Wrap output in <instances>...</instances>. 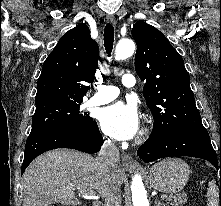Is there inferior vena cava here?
Masks as SVG:
<instances>
[{"label":"inferior vena cava","mask_w":221,"mask_h":206,"mask_svg":"<svg viewBox=\"0 0 221 206\" xmlns=\"http://www.w3.org/2000/svg\"><path fill=\"white\" fill-rule=\"evenodd\" d=\"M119 155L118 148L110 139H107L104 141L97 159L106 170L114 173L119 168ZM103 198L105 201L104 206H121L122 199L120 187L117 185L112 186L104 193Z\"/></svg>","instance_id":"inferior-vena-cava-1"}]
</instances>
